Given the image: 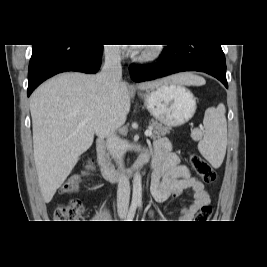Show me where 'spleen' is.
Segmentation results:
<instances>
[{
  "label": "spleen",
  "mask_w": 267,
  "mask_h": 267,
  "mask_svg": "<svg viewBox=\"0 0 267 267\" xmlns=\"http://www.w3.org/2000/svg\"><path fill=\"white\" fill-rule=\"evenodd\" d=\"M203 124L205 134L198 144V149L214 168H218L225 157L227 145V123L224 105L219 104L216 109L207 110Z\"/></svg>",
  "instance_id": "3e777b00"
}]
</instances>
